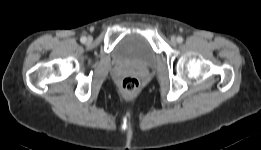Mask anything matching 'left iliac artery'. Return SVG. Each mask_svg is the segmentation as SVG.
<instances>
[{
	"instance_id": "1",
	"label": "left iliac artery",
	"mask_w": 261,
	"mask_h": 150,
	"mask_svg": "<svg viewBox=\"0 0 261 150\" xmlns=\"http://www.w3.org/2000/svg\"><path fill=\"white\" fill-rule=\"evenodd\" d=\"M177 42H178V43H182V42H183V38H182L181 36H179V37L177 38Z\"/></svg>"
}]
</instances>
